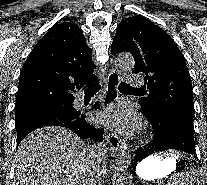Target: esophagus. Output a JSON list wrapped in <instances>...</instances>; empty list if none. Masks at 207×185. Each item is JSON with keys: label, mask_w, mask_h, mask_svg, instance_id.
<instances>
[{"label": "esophagus", "mask_w": 207, "mask_h": 185, "mask_svg": "<svg viewBox=\"0 0 207 185\" xmlns=\"http://www.w3.org/2000/svg\"><path fill=\"white\" fill-rule=\"evenodd\" d=\"M121 80V75L118 72V68H113L110 70L107 79H106V94L104 96V105L108 109L115 100L119 97L118 86ZM107 141L110 145V148L113 152H119L121 148V139L120 137L111 131L107 133ZM126 166V165H123Z\"/></svg>", "instance_id": "esophagus-1"}]
</instances>
